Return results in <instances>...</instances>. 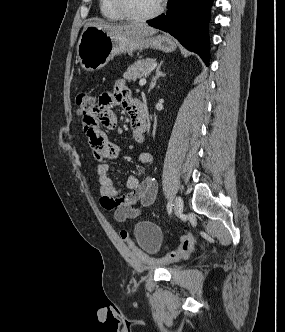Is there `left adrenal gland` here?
Returning <instances> with one entry per match:
<instances>
[{
  "mask_svg": "<svg viewBox=\"0 0 285 332\" xmlns=\"http://www.w3.org/2000/svg\"><path fill=\"white\" fill-rule=\"evenodd\" d=\"M162 64H163V61H161L160 64H159V65L157 66V68H156L155 75L153 76L152 81H151V83H150L149 91L155 87V85H156V83H157V80H158L160 77L165 76V73H163V72L161 71V65H162Z\"/></svg>",
  "mask_w": 285,
  "mask_h": 332,
  "instance_id": "left-adrenal-gland-1",
  "label": "left adrenal gland"
}]
</instances>
